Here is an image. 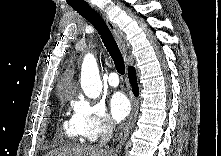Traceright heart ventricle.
Listing matches in <instances>:
<instances>
[{"label": "right heart ventricle", "instance_id": "obj_1", "mask_svg": "<svg viewBox=\"0 0 221 156\" xmlns=\"http://www.w3.org/2000/svg\"><path fill=\"white\" fill-rule=\"evenodd\" d=\"M64 130H65L66 135L69 138H74L75 137L76 131L74 129L72 121L64 123Z\"/></svg>", "mask_w": 221, "mask_h": 156}]
</instances>
